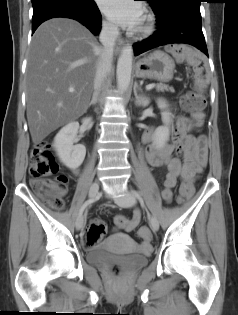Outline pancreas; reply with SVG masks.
Here are the masks:
<instances>
[{
    "instance_id": "pancreas-1",
    "label": "pancreas",
    "mask_w": 238,
    "mask_h": 315,
    "mask_svg": "<svg viewBox=\"0 0 238 315\" xmlns=\"http://www.w3.org/2000/svg\"><path fill=\"white\" fill-rule=\"evenodd\" d=\"M156 89L157 91H171V92H174V89L172 87H169L168 85H165V84H162V83H159L156 85Z\"/></svg>"
}]
</instances>
